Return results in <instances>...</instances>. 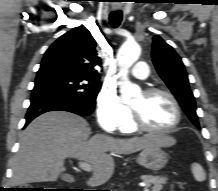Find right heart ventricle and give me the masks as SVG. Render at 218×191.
Segmentation results:
<instances>
[{
    "label": "right heart ventricle",
    "mask_w": 218,
    "mask_h": 191,
    "mask_svg": "<svg viewBox=\"0 0 218 191\" xmlns=\"http://www.w3.org/2000/svg\"><path fill=\"white\" fill-rule=\"evenodd\" d=\"M135 129L132 125L131 120H129L127 123H125L122 127H121V131L124 133H131L133 132Z\"/></svg>",
    "instance_id": "obj_1"
}]
</instances>
